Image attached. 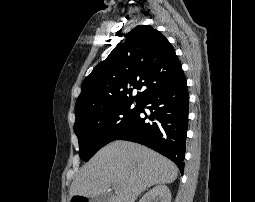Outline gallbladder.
Listing matches in <instances>:
<instances>
[{
	"label": "gallbladder",
	"mask_w": 255,
	"mask_h": 202,
	"mask_svg": "<svg viewBox=\"0 0 255 202\" xmlns=\"http://www.w3.org/2000/svg\"><path fill=\"white\" fill-rule=\"evenodd\" d=\"M91 202H109V195L102 194L92 198Z\"/></svg>",
	"instance_id": "1"
}]
</instances>
